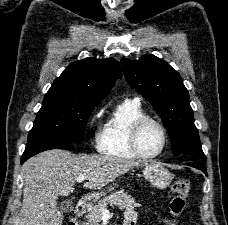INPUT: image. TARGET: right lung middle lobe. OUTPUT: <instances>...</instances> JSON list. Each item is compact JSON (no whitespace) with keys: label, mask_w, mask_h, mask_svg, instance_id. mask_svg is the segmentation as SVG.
Masks as SVG:
<instances>
[{"label":"right lung middle lobe","mask_w":228,"mask_h":225,"mask_svg":"<svg viewBox=\"0 0 228 225\" xmlns=\"http://www.w3.org/2000/svg\"><path fill=\"white\" fill-rule=\"evenodd\" d=\"M98 104L48 92L29 132L27 144L44 139L81 142L87 120Z\"/></svg>","instance_id":"dd1d6c3e"}]
</instances>
